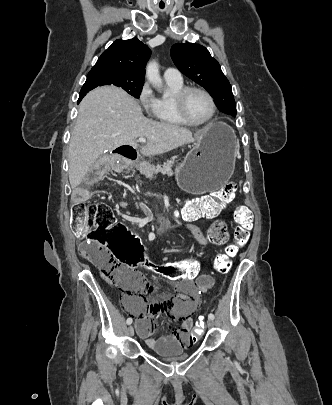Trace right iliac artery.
I'll use <instances>...</instances> for the list:
<instances>
[{
    "label": "right iliac artery",
    "mask_w": 332,
    "mask_h": 405,
    "mask_svg": "<svg viewBox=\"0 0 332 405\" xmlns=\"http://www.w3.org/2000/svg\"><path fill=\"white\" fill-rule=\"evenodd\" d=\"M132 322H133V319H132L131 317H129V318L126 320V324H128V325H130Z\"/></svg>",
    "instance_id": "82829eb1"
}]
</instances>
